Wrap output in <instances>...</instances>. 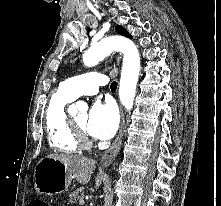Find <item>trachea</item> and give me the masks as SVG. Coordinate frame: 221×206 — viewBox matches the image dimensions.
I'll return each instance as SVG.
<instances>
[{"mask_svg": "<svg viewBox=\"0 0 221 206\" xmlns=\"http://www.w3.org/2000/svg\"><path fill=\"white\" fill-rule=\"evenodd\" d=\"M110 88H111V91H116V89H117V82H115V81L112 82Z\"/></svg>", "mask_w": 221, "mask_h": 206, "instance_id": "trachea-1", "label": "trachea"}]
</instances>
